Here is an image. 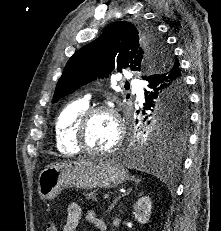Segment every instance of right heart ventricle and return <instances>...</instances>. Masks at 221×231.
<instances>
[{
	"mask_svg": "<svg viewBox=\"0 0 221 231\" xmlns=\"http://www.w3.org/2000/svg\"><path fill=\"white\" fill-rule=\"evenodd\" d=\"M88 108L84 99L68 103L59 113L55 122V137L58 150L66 155L77 154L80 149L75 143L76 123Z\"/></svg>",
	"mask_w": 221,
	"mask_h": 231,
	"instance_id": "right-heart-ventricle-1",
	"label": "right heart ventricle"
}]
</instances>
